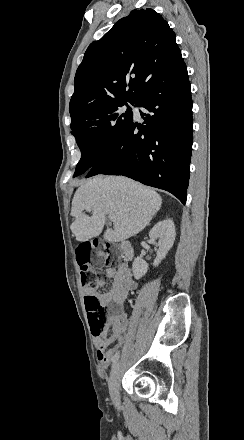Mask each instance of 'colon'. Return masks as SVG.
Masks as SVG:
<instances>
[{
  "label": "colon",
  "instance_id": "5ec220e1",
  "mask_svg": "<svg viewBox=\"0 0 244 440\" xmlns=\"http://www.w3.org/2000/svg\"><path fill=\"white\" fill-rule=\"evenodd\" d=\"M123 254L121 248H101V242L91 240L89 243L82 245L74 250V261L78 262L77 269L81 274L87 273L85 280V287L89 294L86 295V303L83 305V312L86 313L87 319H105L106 313L122 314V305L103 304L100 310V305L97 303L98 286L105 283L103 276V268L107 264H112L117 267L120 264V259ZM106 257H110L107 261ZM110 268L108 265L105 267ZM115 324L117 327L124 325V319L121 316L115 317Z\"/></svg>",
  "mask_w": 244,
  "mask_h": 440
}]
</instances>
